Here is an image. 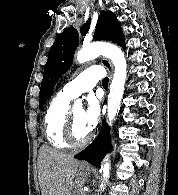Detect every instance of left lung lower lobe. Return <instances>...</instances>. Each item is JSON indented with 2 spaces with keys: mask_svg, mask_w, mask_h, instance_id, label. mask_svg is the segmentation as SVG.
<instances>
[{
  "mask_svg": "<svg viewBox=\"0 0 178 195\" xmlns=\"http://www.w3.org/2000/svg\"><path fill=\"white\" fill-rule=\"evenodd\" d=\"M109 137V126L104 121L98 137L84 151L75 155V158L86 160L90 164L98 167L108 151Z\"/></svg>",
  "mask_w": 178,
  "mask_h": 195,
  "instance_id": "1",
  "label": "left lung lower lobe"
}]
</instances>
